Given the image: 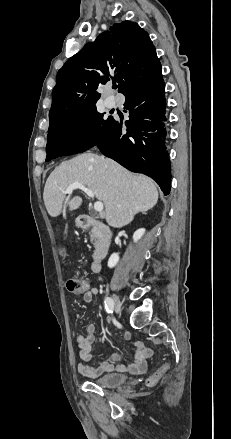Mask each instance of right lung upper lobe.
Returning a JSON list of instances; mask_svg holds the SVG:
<instances>
[{
    "mask_svg": "<svg viewBox=\"0 0 231 439\" xmlns=\"http://www.w3.org/2000/svg\"><path fill=\"white\" fill-rule=\"evenodd\" d=\"M162 75L149 35L137 23L123 21L86 44L58 71L52 91L50 124L96 107V89L110 79L124 96Z\"/></svg>",
    "mask_w": 231,
    "mask_h": 439,
    "instance_id": "1",
    "label": "right lung upper lobe"
}]
</instances>
